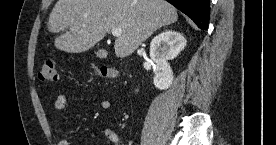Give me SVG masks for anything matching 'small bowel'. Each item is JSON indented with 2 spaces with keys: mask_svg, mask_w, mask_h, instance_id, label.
<instances>
[{
  "mask_svg": "<svg viewBox=\"0 0 276 145\" xmlns=\"http://www.w3.org/2000/svg\"><path fill=\"white\" fill-rule=\"evenodd\" d=\"M100 105L103 109H107L110 107V102L108 100H101ZM69 106V102L67 98L62 95L58 94L54 100V108L57 111H62ZM103 136L109 140L113 145H122V140L120 135L113 129H104ZM58 145H70L69 141L66 139H61Z\"/></svg>",
  "mask_w": 276,
  "mask_h": 145,
  "instance_id": "obj_1",
  "label": "small bowel"
}]
</instances>
